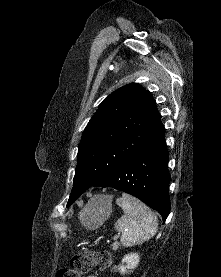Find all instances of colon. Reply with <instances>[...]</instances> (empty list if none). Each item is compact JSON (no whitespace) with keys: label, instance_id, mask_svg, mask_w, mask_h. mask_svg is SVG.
Returning <instances> with one entry per match:
<instances>
[{"label":"colon","instance_id":"obj_1","mask_svg":"<svg viewBox=\"0 0 221 277\" xmlns=\"http://www.w3.org/2000/svg\"><path fill=\"white\" fill-rule=\"evenodd\" d=\"M112 264V258L105 251H85L74 256L68 267L60 269L57 277H81L92 268L100 270L108 269Z\"/></svg>","mask_w":221,"mask_h":277}]
</instances>
